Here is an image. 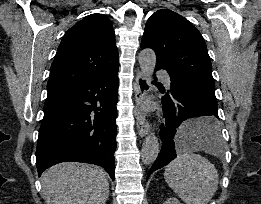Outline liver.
Masks as SVG:
<instances>
[{
	"mask_svg": "<svg viewBox=\"0 0 261 204\" xmlns=\"http://www.w3.org/2000/svg\"><path fill=\"white\" fill-rule=\"evenodd\" d=\"M41 182L44 197L53 204H105L109 196L106 172L84 163L57 164Z\"/></svg>",
	"mask_w": 261,
	"mask_h": 204,
	"instance_id": "6515ba94",
	"label": "liver"
}]
</instances>
